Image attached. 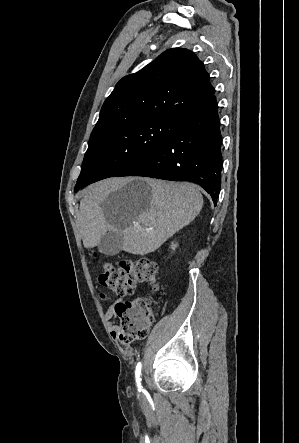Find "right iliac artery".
Wrapping results in <instances>:
<instances>
[{
    "mask_svg": "<svg viewBox=\"0 0 299 443\" xmlns=\"http://www.w3.org/2000/svg\"><path fill=\"white\" fill-rule=\"evenodd\" d=\"M141 368H142V364L140 362H138L137 366H136V370H135V376H136V382H137V387H138L139 392L142 390L141 378H140Z\"/></svg>",
    "mask_w": 299,
    "mask_h": 443,
    "instance_id": "right-iliac-artery-1",
    "label": "right iliac artery"
}]
</instances>
